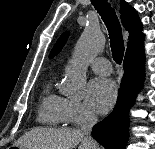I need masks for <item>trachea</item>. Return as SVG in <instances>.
Segmentation results:
<instances>
[{"instance_id":"trachea-1","label":"trachea","mask_w":155,"mask_h":149,"mask_svg":"<svg viewBox=\"0 0 155 149\" xmlns=\"http://www.w3.org/2000/svg\"><path fill=\"white\" fill-rule=\"evenodd\" d=\"M91 2L108 29L113 59L117 64H121L124 55V42L122 28L115 10L107 0H91Z\"/></svg>"}]
</instances>
